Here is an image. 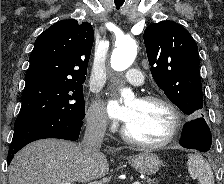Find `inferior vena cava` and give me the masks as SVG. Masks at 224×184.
<instances>
[{"label": "inferior vena cava", "mask_w": 224, "mask_h": 184, "mask_svg": "<svg viewBox=\"0 0 224 184\" xmlns=\"http://www.w3.org/2000/svg\"><path fill=\"white\" fill-rule=\"evenodd\" d=\"M107 121L103 116H95L87 121L86 131L80 149L85 156L96 153L103 142Z\"/></svg>", "instance_id": "inferior-vena-cava-1"}]
</instances>
